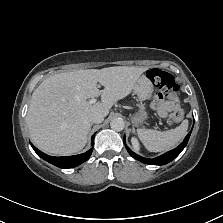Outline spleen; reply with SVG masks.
I'll return each instance as SVG.
<instances>
[{
    "instance_id": "obj_1",
    "label": "spleen",
    "mask_w": 223,
    "mask_h": 223,
    "mask_svg": "<svg viewBox=\"0 0 223 223\" xmlns=\"http://www.w3.org/2000/svg\"><path fill=\"white\" fill-rule=\"evenodd\" d=\"M187 130L188 120H184L179 127L165 132L138 129V136L150 152L157 153L168 151L179 144Z\"/></svg>"
}]
</instances>
